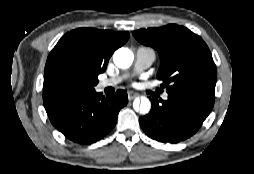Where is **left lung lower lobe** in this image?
Returning <instances> with one entry per match:
<instances>
[{
	"label": "left lung lower lobe",
	"mask_w": 254,
	"mask_h": 174,
	"mask_svg": "<svg viewBox=\"0 0 254 174\" xmlns=\"http://www.w3.org/2000/svg\"><path fill=\"white\" fill-rule=\"evenodd\" d=\"M151 102V111L139 123L150 138L164 143H178L195 134L214 105V101L182 92L169 93L167 101Z\"/></svg>",
	"instance_id": "1"
}]
</instances>
